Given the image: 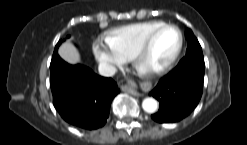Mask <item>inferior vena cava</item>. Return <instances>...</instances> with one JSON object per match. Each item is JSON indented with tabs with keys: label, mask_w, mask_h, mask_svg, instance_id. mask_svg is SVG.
Returning a JSON list of instances; mask_svg holds the SVG:
<instances>
[{
	"label": "inferior vena cava",
	"mask_w": 247,
	"mask_h": 145,
	"mask_svg": "<svg viewBox=\"0 0 247 145\" xmlns=\"http://www.w3.org/2000/svg\"><path fill=\"white\" fill-rule=\"evenodd\" d=\"M98 70L100 75L105 77H111L116 73V67L107 63H100Z\"/></svg>",
	"instance_id": "obj_1"
}]
</instances>
